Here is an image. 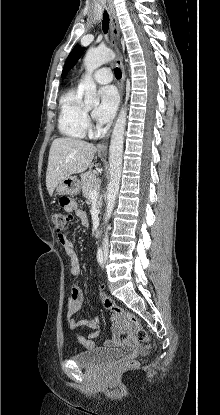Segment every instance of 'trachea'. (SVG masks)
Listing matches in <instances>:
<instances>
[{
    "label": "trachea",
    "mask_w": 220,
    "mask_h": 415,
    "mask_svg": "<svg viewBox=\"0 0 220 415\" xmlns=\"http://www.w3.org/2000/svg\"><path fill=\"white\" fill-rule=\"evenodd\" d=\"M102 28H103L104 33L106 34L108 32V29H109V15H108L107 11H104V14H103ZM114 72H115V77L117 79H120L121 76H122V73H121L120 69L115 68Z\"/></svg>",
    "instance_id": "trachea-1"
}]
</instances>
